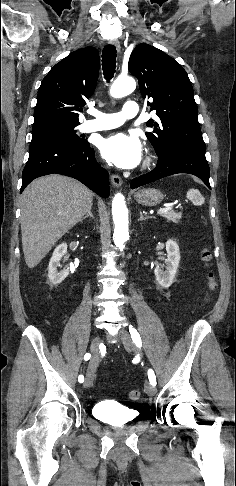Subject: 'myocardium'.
Instances as JSON below:
<instances>
[{
    "label": "myocardium",
    "instance_id": "f54148a6",
    "mask_svg": "<svg viewBox=\"0 0 236 486\" xmlns=\"http://www.w3.org/2000/svg\"><path fill=\"white\" fill-rule=\"evenodd\" d=\"M151 163H152V157H151V156H148V157L146 158L145 162H144L143 167H144V168H148V167H150Z\"/></svg>",
    "mask_w": 236,
    "mask_h": 486
}]
</instances>
